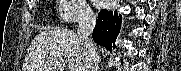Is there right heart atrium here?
Instances as JSON below:
<instances>
[{
    "mask_svg": "<svg viewBox=\"0 0 181 71\" xmlns=\"http://www.w3.org/2000/svg\"><path fill=\"white\" fill-rule=\"evenodd\" d=\"M60 14L66 22H85L92 17V12L84 0H62Z\"/></svg>",
    "mask_w": 181,
    "mask_h": 71,
    "instance_id": "obj_1",
    "label": "right heart atrium"
}]
</instances>
